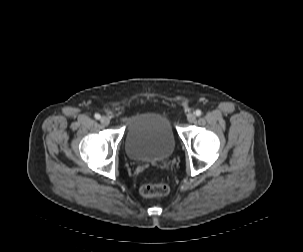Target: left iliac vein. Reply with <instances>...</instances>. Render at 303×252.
I'll use <instances>...</instances> for the list:
<instances>
[{
	"label": "left iliac vein",
	"mask_w": 303,
	"mask_h": 252,
	"mask_svg": "<svg viewBox=\"0 0 303 252\" xmlns=\"http://www.w3.org/2000/svg\"><path fill=\"white\" fill-rule=\"evenodd\" d=\"M187 120L190 123H194L196 121V115L194 113H189L188 116H187Z\"/></svg>",
	"instance_id": "left-iliac-vein-1"
}]
</instances>
